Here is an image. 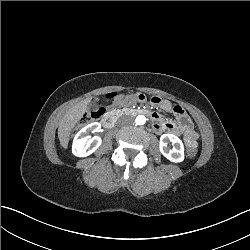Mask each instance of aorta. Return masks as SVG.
Listing matches in <instances>:
<instances>
[{
  "instance_id": "aorta-1",
  "label": "aorta",
  "mask_w": 250,
  "mask_h": 250,
  "mask_svg": "<svg viewBox=\"0 0 250 250\" xmlns=\"http://www.w3.org/2000/svg\"><path fill=\"white\" fill-rule=\"evenodd\" d=\"M145 122H146V117L143 116V115H139V116H137L136 119H135V123H136L137 125H143V124H145Z\"/></svg>"
}]
</instances>
